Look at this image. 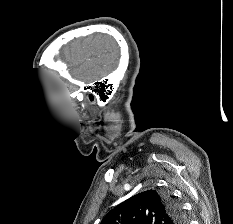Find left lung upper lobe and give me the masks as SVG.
Listing matches in <instances>:
<instances>
[{"label": "left lung upper lobe", "instance_id": "1", "mask_svg": "<svg viewBox=\"0 0 233 224\" xmlns=\"http://www.w3.org/2000/svg\"><path fill=\"white\" fill-rule=\"evenodd\" d=\"M179 205L166 192H141L112 209L101 224H183Z\"/></svg>", "mask_w": 233, "mask_h": 224}]
</instances>
